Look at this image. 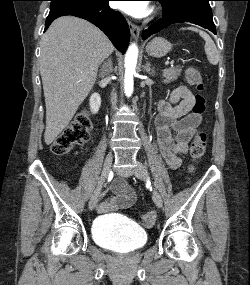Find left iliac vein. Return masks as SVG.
Listing matches in <instances>:
<instances>
[{
    "mask_svg": "<svg viewBox=\"0 0 250 285\" xmlns=\"http://www.w3.org/2000/svg\"><path fill=\"white\" fill-rule=\"evenodd\" d=\"M134 174L140 180L146 181L147 178H148L147 169L140 162L137 163V165H136V167L134 169ZM152 198H153V201L156 204V206L158 208H161L162 207V198H161L160 193L156 189L153 190V197Z\"/></svg>",
    "mask_w": 250,
    "mask_h": 285,
    "instance_id": "left-iliac-vein-1",
    "label": "left iliac vein"
}]
</instances>
